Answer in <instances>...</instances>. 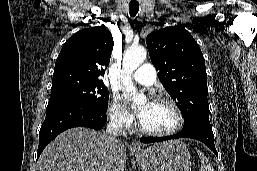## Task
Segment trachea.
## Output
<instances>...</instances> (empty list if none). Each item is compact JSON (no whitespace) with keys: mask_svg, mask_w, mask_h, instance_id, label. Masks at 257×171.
<instances>
[{"mask_svg":"<svg viewBox=\"0 0 257 171\" xmlns=\"http://www.w3.org/2000/svg\"><path fill=\"white\" fill-rule=\"evenodd\" d=\"M139 11V3H130L129 4V13L131 17L136 16Z\"/></svg>","mask_w":257,"mask_h":171,"instance_id":"trachea-1","label":"trachea"}]
</instances>
